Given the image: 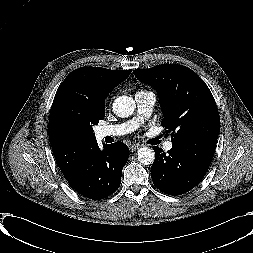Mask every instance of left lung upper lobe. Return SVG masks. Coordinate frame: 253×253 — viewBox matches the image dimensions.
<instances>
[{"label": "left lung upper lobe", "mask_w": 253, "mask_h": 253, "mask_svg": "<svg viewBox=\"0 0 253 253\" xmlns=\"http://www.w3.org/2000/svg\"><path fill=\"white\" fill-rule=\"evenodd\" d=\"M133 73L156 89L164 114L161 125L171 133L172 144L216 146L220 129L216 102L194 71L182 65L161 64Z\"/></svg>", "instance_id": "left-lung-upper-lobe-1"}]
</instances>
